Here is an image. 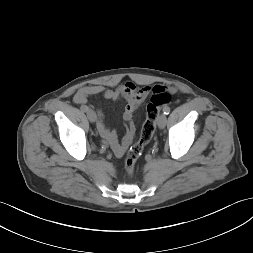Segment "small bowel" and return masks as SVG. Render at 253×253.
Returning <instances> with one entry per match:
<instances>
[{
	"mask_svg": "<svg viewBox=\"0 0 253 253\" xmlns=\"http://www.w3.org/2000/svg\"><path fill=\"white\" fill-rule=\"evenodd\" d=\"M154 87H137L132 82H126L117 89H110L102 85H88L81 87L75 93L73 100L78 105L86 106L89 97L101 94L104 98L109 100L116 101L120 97H123L127 101L123 114V118L127 124L126 133L121 141L118 140L116 132L108 128L106 125L103 113L98 111V132L102 138L110 144L115 155L121 157L124 155L135 137L136 126L133 121L134 112L144 102L147 96L153 92Z\"/></svg>",
	"mask_w": 253,
	"mask_h": 253,
	"instance_id": "1",
	"label": "small bowel"
}]
</instances>
